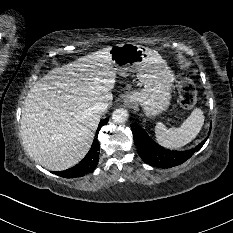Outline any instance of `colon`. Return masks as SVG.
<instances>
[{
  "label": "colon",
  "instance_id": "obj_1",
  "mask_svg": "<svg viewBox=\"0 0 233 233\" xmlns=\"http://www.w3.org/2000/svg\"><path fill=\"white\" fill-rule=\"evenodd\" d=\"M179 101L183 108H192L197 102L195 85L189 76H184L178 85Z\"/></svg>",
  "mask_w": 233,
  "mask_h": 233
}]
</instances>
